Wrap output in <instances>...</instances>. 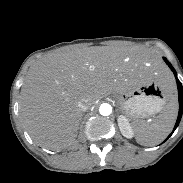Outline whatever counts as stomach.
Returning <instances> with one entry per match:
<instances>
[{
  "instance_id": "obj_1",
  "label": "stomach",
  "mask_w": 183,
  "mask_h": 183,
  "mask_svg": "<svg viewBox=\"0 0 183 183\" xmlns=\"http://www.w3.org/2000/svg\"><path fill=\"white\" fill-rule=\"evenodd\" d=\"M122 110L132 118H145L160 112L167 100V88L157 78L152 64L134 68V80L119 95Z\"/></svg>"
}]
</instances>
